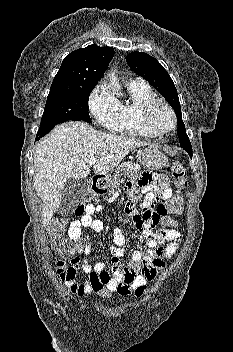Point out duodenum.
<instances>
[{
    "label": "duodenum",
    "instance_id": "obj_1",
    "mask_svg": "<svg viewBox=\"0 0 233 352\" xmlns=\"http://www.w3.org/2000/svg\"><path fill=\"white\" fill-rule=\"evenodd\" d=\"M104 180L101 176H93L91 179V190L94 194L103 193Z\"/></svg>",
    "mask_w": 233,
    "mask_h": 352
}]
</instances>
